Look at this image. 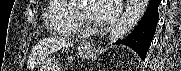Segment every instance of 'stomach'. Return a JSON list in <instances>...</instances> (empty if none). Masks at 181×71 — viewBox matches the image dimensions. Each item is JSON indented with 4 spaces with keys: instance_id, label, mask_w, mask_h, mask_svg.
<instances>
[{
    "instance_id": "0dacf381",
    "label": "stomach",
    "mask_w": 181,
    "mask_h": 71,
    "mask_svg": "<svg viewBox=\"0 0 181 71\" xmlns=\"http://www.w3.org/2000/svg\"><path fill=\"white\" fill-rule=\"evenodd\" d=\"M79 56L83 59H92L95 57V50L91 46H81L79 48ZM40 71H59L54 62L46 61L40 65Z\"/></svg>"
}]
</instances>
